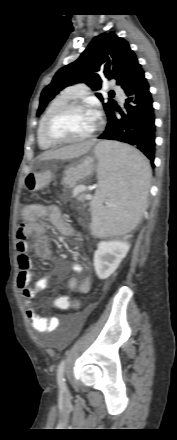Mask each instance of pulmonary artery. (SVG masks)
I'll use <instances>...</instances> for the list:
<instances>
[{
  "label": "pulmonary artery",
  "mask_w": 177,
  "mask_h": 440,
  "mask_svg": "<svg viewBox=\"0 0 177 440\" xmlns=\"http://www.w3.org/2000/svg\"><path fill=\"white\" fill-rule=\"evenodd\" d=\"M112 89L119 95L121 101L123 100L124 94L123 91L121 90L120 87L118 86H113ZM72 97H80L84 94H86V87L84 86H78V87H74L71 88L67 91Z\"/></svg>",
  "instance_id": "1"
}]
</instances>
